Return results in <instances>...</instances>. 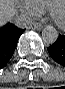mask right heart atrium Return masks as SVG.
I'll list each match as a JSON object with an SVG mask.
<instances>
[{
	"instance_id": "d8ad5b80",
	"label": "right heart atrium",
	"mask_w": 65,
	"mask_h": 89,
	"mask_svg": "<svg viewBox=\"0 0 65 89\" xmlns=\"http://www.w3.org/2000/svg\"><path fill=\"white\" fill-rule=\"evenodd\" d=\"M25 10H27L28 12H31L30 8L28 7V5H25ZM32 13V12H31Z\"/></svg>"
}]
</instances>
